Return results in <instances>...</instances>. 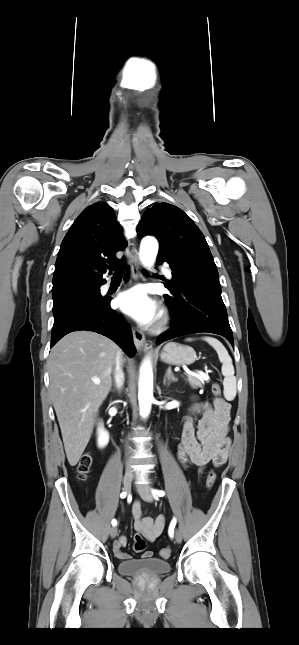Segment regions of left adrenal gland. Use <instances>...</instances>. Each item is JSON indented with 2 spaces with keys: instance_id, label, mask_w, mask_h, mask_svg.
<instances>
[{
  "instance_id": "left-adrenal-gland-1",
  "label": "left adrenal gland",
  "mask_w": 299,
  "mask_h": 645,
  "mask_svg": "<svg viewBox=\"0 0 299 645\" xmlns=\"http://www.w3.org/2000/svg\"><path fill=\"white\" fill-rule=\"evenodd\" d=\"M166 380L169 381V384H170V382H177V379L175 378L174 374L172 373L171 368L167 369V372H166V375H165V378H164V384H166Z\"/></svg>"
}]
</instances>
